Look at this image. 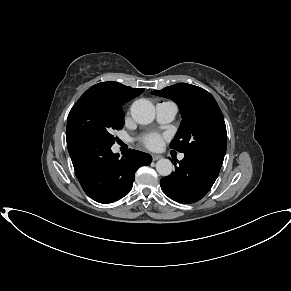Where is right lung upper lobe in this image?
<instances>
[{"mask_svg":"<svg viewBox=\"0 0 291 291\" xmlns=\"http://www.w3.org/2000/svg\"><path fill=\"white\" fill-rule=\"evenodd\" d=\"M143 91V88L135 89L118 82H101L90 87L84 94L103 97L116 104L124 105Z\"/></svg>","mask_w":291,"mask_h":291,"instance_id":"right-lung-upper-lobe-1","label":"right lung upper lobe"}]
</instances>
